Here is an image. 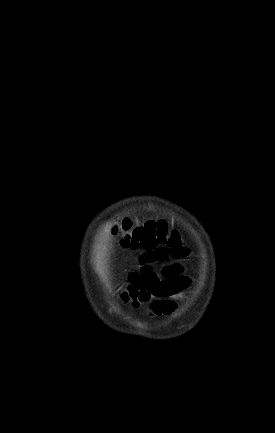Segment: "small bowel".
Wrapping results in <instances>:
<instances>
[{"label": "small bowel", "mask_w": 275, "mask_h": 433, "mask_svg": "<svg viewBox=\"0 0 275 433\" xmlns=\"http://www.w3.org/2000/svg\"><path fill=\"white\" fill-rule=\"evenodd\" d=\"M166 257L167 251L163 248L144 252L139 257L138 269L128 275L122 299L135 307L147 304L154 315H172L176 310V301L191 281L183 275V267L178 264H165L159 271L152 268L153 263L161 262Z\"/></svg>", "instance_id": "obj_1"}]
</instances>
